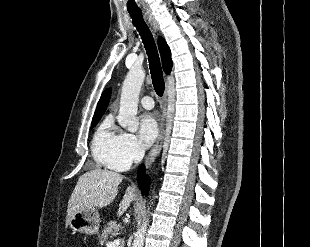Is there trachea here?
I'll return each mask as SVG.
<instances>
[{
	"instance_id": "3493384b",
	"label": "trachea",
	"mask_w": 310,
	"mask_h": 247,
	"mask_svg": "<svg viewBox=\"0 0 310 247\" xmlns=\"http://www.w3.org/2000/svg\"><path fill=\"white\" fill-rule=\"evenodd\" d=\"M129 14L133 20L134 26L137 28V31L141 36V39L144 43V47L146 49L149 60V68L152 83L155 92L157 93L158 96H162L164 93L165 84L160 64V58L158 55L157 47L153 39L152 33L149 30L147 24L145 23L141 11L129 10Z\"/></svg>"
}]
</instances>
